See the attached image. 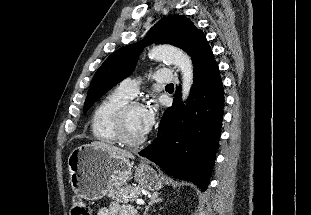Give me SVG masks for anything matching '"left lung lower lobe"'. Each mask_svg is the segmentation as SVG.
<instances>
[{"label":"left lung lower lobe","instance_id":"left-lung-lower-lobe-1","mask_svg":"<svg viewBox=\"0 0 311 215\" xmlns=\"http://www.w3.org/2000/svg\"><path fill=\"white\" fill-rule=\"evenodd\" d=\"M194 66V83L187 104L175 95L166 109L158 137L139 152L167 174L191 181L202 191L208 187L221 133L224 91L218 65L205 38L189 50Z\"/></svg>","mask_w":311,"mask_h":215}]
</instances>
